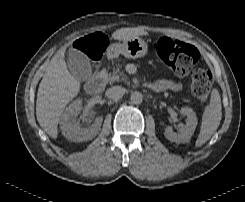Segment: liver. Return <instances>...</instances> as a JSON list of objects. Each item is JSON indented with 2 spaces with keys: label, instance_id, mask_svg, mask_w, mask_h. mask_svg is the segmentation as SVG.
<instances>
[{
  "label": "liver",
  "instance_id": "liver-1",
  "mask_svg": "<svg viewBox=\"0 0 245 202\" xmlns=\"http://www.w3.org/2000/svg\"><path fill=\"white\" fill-rule=\"evenodd\" d=\"M139 28H121L113 32L115 40L146 35ZM80 82L68 71L64 57L54 62L41 80L37 92L36 116L39 125L53 139L58 136V123L66 105L78 95Z\"/></svg>",
  "mask_w": 245,
  "mask_h": 202
}]
</instances>
